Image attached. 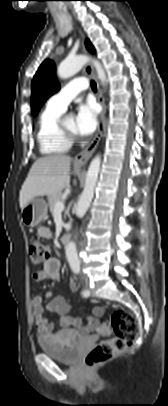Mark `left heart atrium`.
<instances>
[{"label":"left heart atrium","mask_w":168,"mask_h":406,"mask_svg":"<svg viewBox=\"0 0 168 406\" xmlns=\"http://www.w3.org/2000/svg\"><path fill=\"white\" fill-rule=\"evenodd\" d=\"M97 127V111L93 104L83 103L77 108L75 129L79 135H91Z\"/></svg>","instance_id":"1"}]
</instances>
